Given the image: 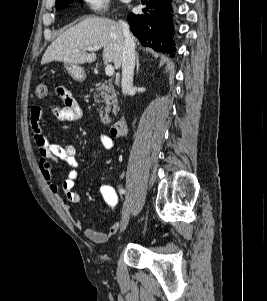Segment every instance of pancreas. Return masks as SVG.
<instances>
[{"instance_id": "pancreas-1", "label": "pancreas", "mask_w": 267, "mask_h": 301, "mask_svg": "<svg viewBox=\"0 0 267 301\" xmlns=\"http://www.w3.org/2000/svg\"><path fill=\"white\" fill-rule=\"evenodd\" d=\"M93 91V89H92ZM94 99L96 102L105 104L104 108L99 109V114L101 121L104 124H109L111 122L108 113L111 110V107H114V111L118 109L117 93L114 89V86L111 82L98 83L95 86ZM105 113V115H104Z\"/></svg>"}]
</instances>
